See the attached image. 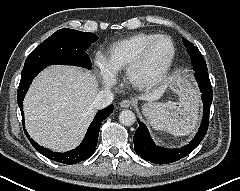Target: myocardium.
Returning <instances> with one entry per match:
<instances>
[{
	"instance_id": "obj_1",
	"label": "myocardium",
	"mask_w": 240,
	"mask_h": 191,
	"mask_svg": "<svg viewBox=\"0 0 240 191\" xmlns=\"http://www.w3.org/2000/svg\"><path fill=\"white\" fill-rule=\"evenodd\" d=\"M160 40H168L170 42L171 47H172V52H171L170 58L168 59L165 66L162 68V70L157 75H155L151 78H145V79L140 78L139 73L142 70L143 66L145 65L150 51L152 50L154 45ZM176 53H177V49H176L175 42L173 41V39L170 36L163 35V34L157 35L156 37H154L152 40H150L145 45V47L142 49L141 53L136 58V60L126 70L127 81L132 86H134L138 89H150V88H154V87L160 85L163 82V80L167 77V75L169 74V72L173 66V63L175 61Z\"/></svg>"
}]
</instances>
